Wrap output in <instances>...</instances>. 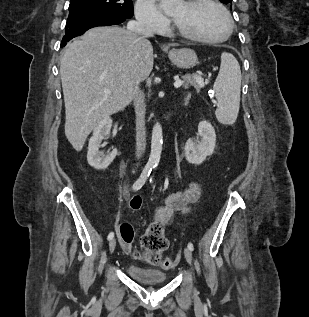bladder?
Listing matches in <instances>:
<instances>
[{"label": "bladder", "instance_id": "1", "mask_svg": "<svg viewBox=\"0 0 309 317\" xmlns=\"http://www.w3.org/2000/svg\"><path fill=\"white\" fill-rule=\"evenodd\" d=\"M126 270L132 279L142 284H162L167 280V274L159 269L146 268L136 264H129Z\"/></svg>", "mask_w": 309, "mask_h": 317}]
</instances>
